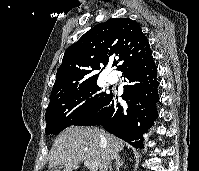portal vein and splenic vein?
I'll list each match as a JSON object with an SVG mask.
<instances>
[{"label":"portal vein and splenic vein","mask_w":199,"mask_h":171,"mask_svg":"<svg viewBox=\"0 0 199 171\" xmlns=\"http://www.w3.org/2000/svg\"><path fill=\"white\" fill-rule=\"evenodd\" d=\"M84 165H85L90 171H97V170H98V164L95 163V162L84 161Z\"/></svg>","instance_id":"18ae733b"}]
</instances>
